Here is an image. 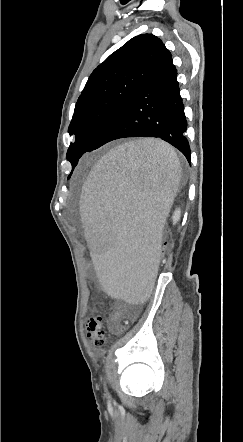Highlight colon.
I'll return each mask as SVG.
<instances>
[{"label": "colon", "mask_w": 243, "mask_h": 442, "mask_svg": "<svg viewBox=\"0 0 243 442\" xmlns=\"http://www.w3.org/2000/svg\"><path fill=\"white\" fill-rule=\"evenodd\" d=\"M171 239L168 236L163 237L161 243V251L159 253L160 260L167 258L170 251ZM105 319L102 315L91 316L87 320L86 330L87 336L92 341L93 345L101 349L106 343Z\"/></svg>", "instance_id": "obj_1"}]
</instances>
